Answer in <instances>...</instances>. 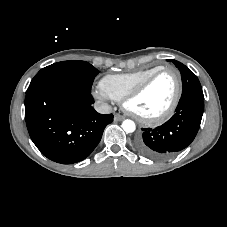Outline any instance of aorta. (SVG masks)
Returning <instances> with one entry per match:
<instances>
[{
  "instance_id": "aorta-1",
  "label": "aorta",
  "mask_w": 227,
  "mask_h": 227,
  "mask_svg": "<svg viewBox=\"0 0 227 227\" xmlns=\"http://www.w3.org/2000/svg\"><path fill=\"white\" fill-rule=\"evenodd\" d=\"M122 128L127 133H132L136 129V125L132 120L126 119L122 123Z\"/></svg>"
}]
</instances>
